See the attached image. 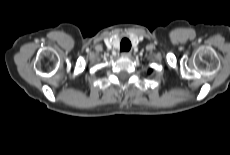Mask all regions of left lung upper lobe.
<instances>
[{
  "label": "left lung upper lobe",
  "instance_id": "1",
  "mask_svg": "<svg viewBox=\"0 0 230 155\" xmlns=\"http://www.w3.org/2000/svg\"><path fill=\"white\" fill-rule=\"evenodd\" d=\"M151 72H152V69H150L149 73H151Z\"/></svg>",
  "mask_w": 230,
  "mask_h": 155
}]
</instances>
